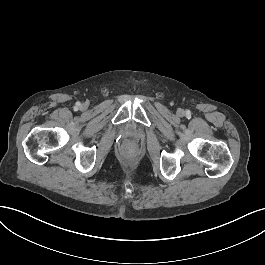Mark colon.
<instances>
[{
	"label": "colon",
	"mask_w": 265,
	"mask_h": 265,
	"mask_svg": "<svg viewBox=\"0 0 265 265\" xmlns=\"http://www.w3.org/2000/svg\"><path fill=\"white\" fill-rule=\"evenodd\" d=\"M127 151L128 152H133L134 151V146L133 145H128L127 146Z\"/></svg>",
	"instance_id": "5ec220e1"
}]
</instances>
